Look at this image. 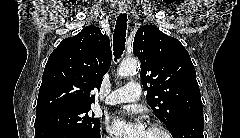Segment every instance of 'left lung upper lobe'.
I'll return each instance as SVG.
<instances>
[{
	"label": "left lung upper lobe",
	"instance_id": "5c2ea615",
	"mask_svg": "<svg viewBox=\"0 0 240 138\" xmlns=\"http://www.w3.org/2000/svg\"><path fill=\"white\" fill-rule=\"evenodd\" d=\"M133 53L141 62L147 103L169 131L189 117L203 116L195 68L176 38L144 25L136 32Z\"/></svg>",
	"mask_w": 240,
	"mask_h": 138
}]
</instances>
